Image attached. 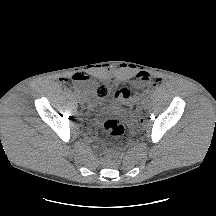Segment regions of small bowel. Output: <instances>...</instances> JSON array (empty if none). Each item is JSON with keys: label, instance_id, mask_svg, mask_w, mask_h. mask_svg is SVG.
I'll return each mask as SVG.
<instances>
[{"label": "small bowel", "instance_id": "c3829d8e", "mask_svg": "<svg viewBox=\"0 0 216 216\" xmlns=\"http://www.w3.org/2000/svg\"><path fill=\"white\" fill-rule=\"evenodd\" d=\"M141 78V77H140ZM70 80L74 82L75 84H85L88 81V77L80 72L74 73L71 77ZM67 81V80H65ZM119 94V98L123 99L124 96H129L130 92L126 87H121L117 90Z\"/></svg>", "mask_w": 216, "mask_h": 216}]
</instances>
